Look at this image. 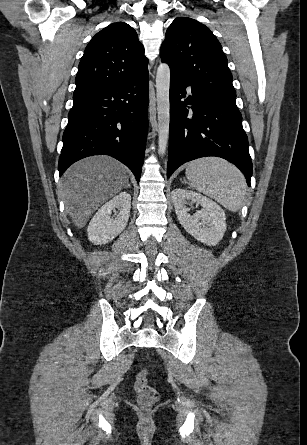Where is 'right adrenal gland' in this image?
I'll return each instance as SVG.
<instances>
[{
    "label": "right adrenal gland",
    "mask_w": 307,
    "mask_h": 445,
    "mask_svg": "<svg viewBox=\"0 0 307 445\" xmlns=\"http://www.w3.org/2000/svg\"><path fill=\"white\" fill-rule=\"evenodd\" d=\"M127 186H130V184H127ZM127 186H124V188H127Z\"/></svg>",
    "instance_id": "obj_1"
}]
</instances>
